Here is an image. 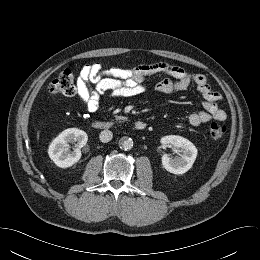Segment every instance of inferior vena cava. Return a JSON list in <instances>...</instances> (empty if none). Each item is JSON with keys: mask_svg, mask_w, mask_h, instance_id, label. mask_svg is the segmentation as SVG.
Segmentation results:
<instances>
[{"mask_svg": "<svg viewBox=\"0 0 260 260\" xmlns=\"http://www.w3.org/2000/svg\"><path fill=\"white\" fill-rule=\"evenodd\" d=\"M112 137H113V134L110 130L102 131L99 136L101 142H103V143L109 142L112 139Z\"/></svg>", "mask_w": 260, "mask_h": 260, "instance_id": "602c4592", "label": "inferior vena cava"}]
</instances>
